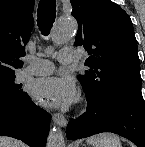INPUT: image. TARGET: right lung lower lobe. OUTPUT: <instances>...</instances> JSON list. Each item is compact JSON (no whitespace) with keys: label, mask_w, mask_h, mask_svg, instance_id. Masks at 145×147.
Instances as JSON below:
<instances>
[{"label":"right lung lower lobe","mask_w":145,"mask_h":147,"mask_svg":"<svg viewBox=\"0 0 145 147\" xmlns=\"http://www.w3.org/2000/svg\"><path fill=\"white\" fill-rule=\"evenodd\" d=\"M49 128V113L28 95L19 103L0 105V136L22 140L31 147H45Z\"/></svg>","instance_id":"1"}]
</instances>
